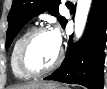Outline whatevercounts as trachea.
Masks as SVG:
<instances>
[{
	"label": "trachea",
	"instance_id": "obj_1",
	"mask_svg": "<svg viewBox=\"0 0 107 89\" xmlns=\"http://www.w3.org/2000/svg\"><path fill=\"white\" fill-rule=\"evenodd\" d=\"M72 5H73V4H72V3H70V2H68V3H67V6H72Z\"/></svg>",
	"mask_w": 107,
	"mask_h": 89
}]
</instances>
